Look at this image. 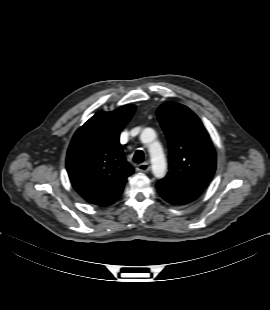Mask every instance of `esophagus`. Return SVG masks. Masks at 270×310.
Returning a JSON list of instances; mask_svg holds the SVG:
<instances>
[{"label": "esophagus", "mask_w": 270, "mask_h": 310, "mask_svg": "<svg viewBox=\"0 0 270 310\" xmlns=\"http://www.w3.org/2000/svg\"><path fill=\"white\" fill-rule=\"evenodd\" d=\"M136 169L140 172H148L150 170V165L147 162H144L138 164Z\"/></svg>", "instance_id": "obj_1"}]
</instances>
